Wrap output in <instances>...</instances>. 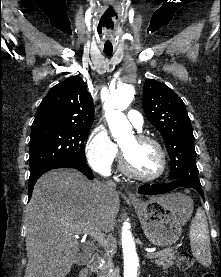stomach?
Instances as JSON below:
<instances>
[{"mask_svg": "<svg viewBox=\"0 0 221 277\" xmlns=\"http://www.w3.org/2000/svg\"><path fill=\"white\" fill-rule=\"evenodd\" d=\"M144 234L156 246L174 244L182 234V226L192 212V202L182 197L177 205L168 203L163 196L147 201H131Z\"/></svg>", "mask_w": 221, "mask_h": 277, "instance_id": "obj_1", "label": "stomach"}]
</instances>
